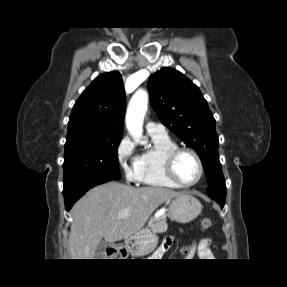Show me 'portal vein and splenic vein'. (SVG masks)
<instances>
[{
    "label": "portal vein and splenic vein",
    "mask_w": 287,
    "mask_h": 287,
    "mask_svg": "<svg viewBox=\"0 0 287 287\" xmlns=\"http://www.w3.org/2000/svg\"><path fill=\"white\" fill-rule=\"evenodd\" d=\"M129 215V210L128 209H125V210H123V211H121L120 213H119V217L120 218H125V217H127Z\"/></svg>",
    "instance_id": "portal-vein-and-splenic-vein-1"
}]
</instances>
